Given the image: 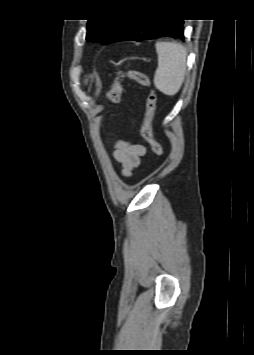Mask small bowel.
<instances>
[{"label": "small bowel", "mask_w": 254, "mask_h": 355, "mask_svg": "<svg viewBox=\"0 0 254 355\" xmlns=\"http://www.w3.org/2000/svg\"><path fill=\"white\" fill-rule=\"evenodd\" d=\"M146 153V147L140 143L119 141L114 147L113 157L121 165L122 174L129 176L134 169L141 166Z\"/></svg>", "instance_id": "1"}]
</instances>
